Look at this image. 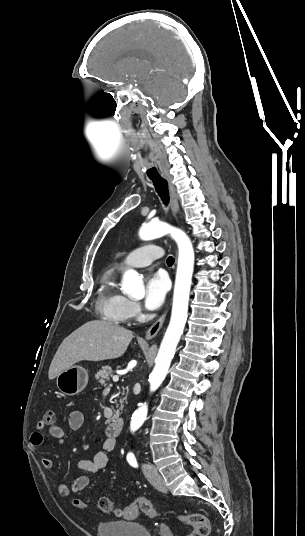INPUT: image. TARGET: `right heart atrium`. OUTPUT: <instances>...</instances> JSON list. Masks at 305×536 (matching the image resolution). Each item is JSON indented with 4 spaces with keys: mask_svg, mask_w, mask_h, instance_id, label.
Wrapping results in <instances>:
<instances>
[{
    "mask_svg": "<svg viewBox=\"0 0 305 536\" xmlns=\"http://www.w3.org/2000/svg\"><path fill=\"white\" fill-rule=\"evenodd\" d=\"M125 309L129 317L136 316L139 311L138 304L135 301L131 300H128Z\"/></svg>",
    "mask_w": 305,
    "mask_h": 536,
    "instance_id": "right-heart-atrium-1",
    "label": "right heart atrium"
}]
</instances>
